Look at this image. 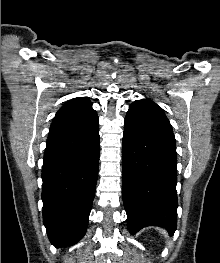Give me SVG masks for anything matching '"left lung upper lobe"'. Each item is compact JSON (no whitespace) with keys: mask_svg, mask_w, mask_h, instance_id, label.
<instances>
[{"mask_svg":"<svg viewBox=\"0 0 220 263\" xmlns=\"http://www.w3.org/2000/svg\"><path fill=\"white\" fill-rule=\"evenodd\" d=\"M125 119H131L147 128L175 139L170 122L163 110L150 100L143 99L133 102Z\"/></svg>","mask_w":220,"mask_h":263,"instance_id":"1","label":"left lung upper lobe"}]
</instances>
